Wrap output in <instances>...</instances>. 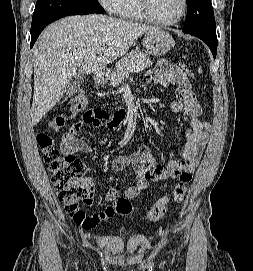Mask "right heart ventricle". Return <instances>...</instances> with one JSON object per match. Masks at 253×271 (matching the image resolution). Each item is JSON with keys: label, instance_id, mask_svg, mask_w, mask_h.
<instances>
[{"label": "right heart ventricle", "instance_id": "obj_1", "mask_svg": "<svg viewBox=\"0 0 253 271\" xmlns=\"http://www.w3.org/2000/svg\"><path fill=\"white\" fill-rule=\"evenodd\" d=\"M118 14L129 20H144L138 0H123Z\"/></svg>", "mask_w": 253, "mask_h": 271}]
</instances>
